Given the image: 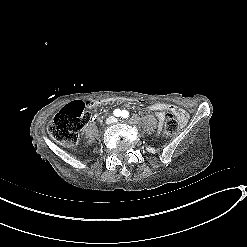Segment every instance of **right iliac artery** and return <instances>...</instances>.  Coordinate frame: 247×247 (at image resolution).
<instances>
[{"label": "right iliac artery", "instance_id": "right-iliac-artery-1", "mask_svg": "<svg viewBox=\"0 0 247 247\" xmlns=\"http://www.w3.org/2000/svg\"><path fill=\"white\" fill-rule=\"evenodd\" d=\"M120 113H121V111H120L119 109H116V110L114 111V115H115L116 117H119V116H120Z\"/></svg>", "mask_w": 247, "mask_h": 247}]
</instances>
